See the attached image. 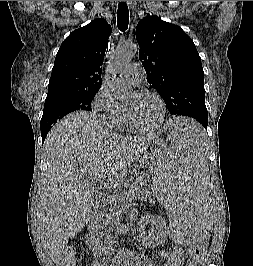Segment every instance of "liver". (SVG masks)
Instances as JSON below:
<instances>
[{
  "instance_id": "liver-1",
  "label": "liver",
  "mask_w": 253,
  "mask_h": 266,
  "mask_svg": "<svg viewBox=\"0 0 253 266\" xmlns=\"http://www.w3.org/2000/svg\"><path fill=\"white\" fill-rule=\"evenodd\" d=\"M156 139L123 137L84 111L71 113L53 126L44 143L47 170L38 223L55 263L60 262L69 239L93 218L91 179L101 177L122 184L132 162Z\"/></svg>"
}]
</instances>
